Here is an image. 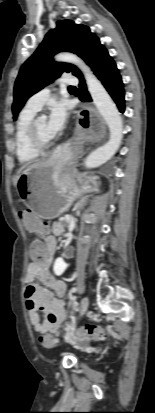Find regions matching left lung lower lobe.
I'll return each instance as SVG.
<instances>
[{
  "instance_id": "obj_1",
  "label": "left lung lower lobe",
  "mask_w": 155,
  "mask_h": 413,
  "mask_svg": "<svg viewBox=\"0 0 155 413\" xmlns=\"http://www.w3.org/2000/svg\"><path fill=\"white\" fill-rule=\"evenodd\" d=\"M94 74L102 82L106 90L109 92L112 99L115 101L119 111L124 113L125 100L124 88L119 70L116 67L114 60L109 56L108 51L104 47L91 64ZM79 87L83 94L80 99L83 102H91L92 99L87 91L85 80L83 76L79 77Z\"/></svg>"
}]
</instances>
